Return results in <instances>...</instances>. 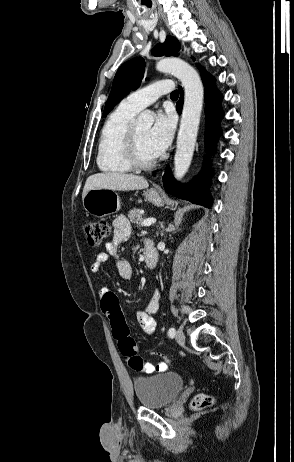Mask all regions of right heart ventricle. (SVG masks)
Masks as SVG:
<instances>
[{
	"label": "right heart ventricle",
	"mask_w": 294,
	"mask_h": 462,
	"mask_svg": "<svg viewBox=\"0 0 294 462\" xmlns=\"http://www.w3.org/2000/svg\"><path fill=\"white\" fill-rule=\"evenodd\" d=\"M136 113L121 103L107 118L98 144L97 165L100 171L110 174L131 171L124 157V141Z\"/></svg>",
	"instance_id": "right-heart-ventricle-1"
}]
</instances>
